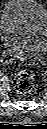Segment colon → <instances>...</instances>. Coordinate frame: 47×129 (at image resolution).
Returning <instances> with one entry per match:
<instances>
[{
    "label": "colon",
    "instance_id": "colon-1",
    "mask_svg": "<svg viewBox=\"0 0 47 129\" xmlns=\"http://www.w3.org/2000/svg\"><path fill=\"white\" fill-rule=\"evenodd\" d=\"M12 84L16 92L21 94L27 93L34 86L33 76L29 72L22 71L13 78Z\"/></svg>",
    "mask_w": 47,
    "mask_h": 129
}]
</instances>
